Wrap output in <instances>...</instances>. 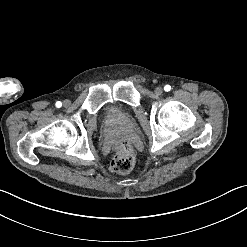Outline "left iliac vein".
<instances>
[{
    "label": "left iliac vein",
    "mask_w": 247,
    "mask_h": 247,
    "mask_svg": "<svg viewBox=\"0 0 247 247\" xmlns=\"http://www.w3.org/2000/svg\"><path fill=\"white\" fill-rule=\"evenodd\" d=\"M154 92H155L156 95L160 96V95L163 94V88L158 86V87L155 88Z\"/></svg>",
    "instance_id": "obj_1"
}]
</instances>
